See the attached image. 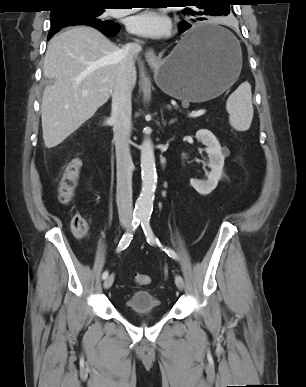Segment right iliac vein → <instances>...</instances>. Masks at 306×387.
<instances>
[{
	"label": "right iliac vein",
	"instance_id": "63e3f726",
	"mask_svg": "<svg viewBox=\"0 0 306 387\" xmlns=\"http://www.w3.org/2000/svg\"><path fill=\"white\" fill-rule=\"evenodd\" d=\"M129 226H130L129 223H124V224H123V227L126 228V229H128ZM113 282H114V275L111 274V275H110L108 278H106V280L104 281V284H103L104 288H105V289H109V288L112 286Z\"/></svg>",
	"mask_w": 306,
	"mask_h": 387
}]
</instances>
